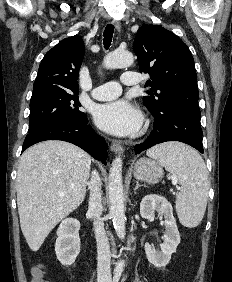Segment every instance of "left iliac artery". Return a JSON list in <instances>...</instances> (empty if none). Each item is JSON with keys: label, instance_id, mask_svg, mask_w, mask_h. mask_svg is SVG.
<instances>
[{"label": "left iliac artery", "instance_id": "obj_1", "mask_svg": "<svg viewBox=\"0 0 232 282\" xmlns=\"http://www.w3.org/2000/svg\"><path fill=\"white\" fill-rule=\"evenodd\" d=\"M120 276H121L120 273L115 274V276L113 278V282H119Z\"/></svg>", "mask_w": 232, "mask_h": 282}]
</instances>
